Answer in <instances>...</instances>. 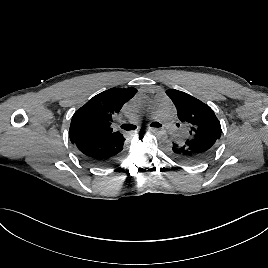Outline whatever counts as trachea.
<instances>
[{"label": "trachea", "mask_w": 268, "mask_h": 268, "mask_svg": "<svg viewBox=\"0 0 268 268\" xmlns=\"http://www.w3.org/2000/svg\"><path fill=\"white\" fill-rule=\"evenodd\" d=\"M151 127H161L162 125L158 122H153L150 124ZM122 129L126 130V131H130V130H134L136 129V125H133V124H123L121 126Z\"/></svg>", "instance_id": "3493384b"}]
</instances>
